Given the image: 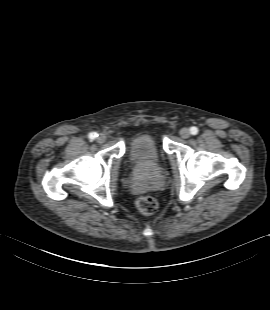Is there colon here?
<instances>
[{
	"label": "colon",
	"instance_id": "obj_1",
	"mask_svg": "<svg viewBox=\"0 0 270 310\" xmlns=\"http://www.w3.org/2000/svg\"><path fill=\"white\" fill-rule=\"evenodd\" d=\"M135 204L144 215H152L158 210V201L152 196H140L136 199Z\"/></svg>",
	"mask_w": 270,
	"mask_h": 310
}]
</instances>
